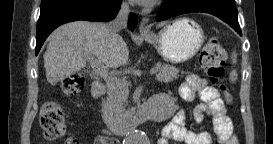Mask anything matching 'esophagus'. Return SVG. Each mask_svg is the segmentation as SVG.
<instances>
[{"instance_id": "obj_1", "label": "esophagus", "mask_w": 273, "mask_h": 144, "mask_svg": "<svg viewBox=\"0 0 273 144\" xmlns=\"http://www.w3.org/2000/svg\"><path fill=\"white\" fill-rule=\"evenodd\" d=\"M147 23L148 18H143L139 26V31L141 35H148L150 33Z\"/></svg>"}]
</instances>
